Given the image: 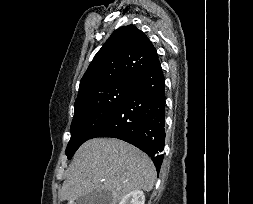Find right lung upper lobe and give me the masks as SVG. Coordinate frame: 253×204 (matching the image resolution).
<instances>
[{
  "mask_svg": "<svg viewBox=\"0 0 253 204\" xmlns=\"http://www.w3.org/2000/svg\"><path fill=\"white\" fill-rule=\"evenodd\" d=\"M157 59L155 47L142 31L134 25L121 27L93 58L80 81L77 99L110 84L133 83Z\"/></svg>",
  "mask_w": 253,
  "mask_h": 204,
  "instance_id": "obj_1",
  "label": "right lung upper lobe"
}]
</instances>
